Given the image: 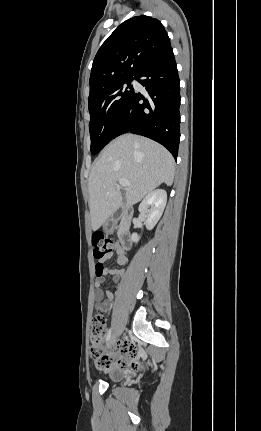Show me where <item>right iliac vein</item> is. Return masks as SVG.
<instances>
[{
	"label": "right iliac vein",
	"instance_id": "right-iliac-vein-1",
	"mask_svg": "<svg viewBox=\"0 0 261 431\" xmlns=\"http://www.w3.org/2000/svg\"><path fill=\"white\" fill-rule=\"evenodd\" d=\"M114 342H115V335H113V336L111 337V339L109 340L108 345H107V348H108V349H109V348H111V347L113 346Z\"/></svg>",
	"mask_w": 261,
	"mask_h": 431
}]
</instances>
